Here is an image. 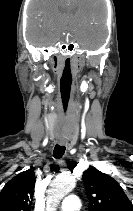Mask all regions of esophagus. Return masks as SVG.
I'll use <instances>...</instances> for the list:
<instances>
[{"instance_id": "obj_1", "label": "esophagus", "mask_w": 133, "mask_h": 211, "mask_svg": "<svg viewBox=\"0 0 133 211\" xmlns=\"http://www.w3.org/2000/svg\"><path fill=\"white\" fill-rule=\"evenodd\" d=\"M61 144H65V141H61Z\"/></svg>"}]
</instances>
